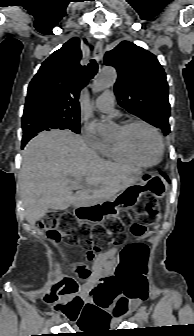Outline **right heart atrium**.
I'll use <instances>...</instances> for the list:
<instances>
[{"label":"right heart atrium","instance_id":"right-heart-atrium-1","mask_svg":"<svg viewBox=\"0 0 194 336\" xmlns=\"http://www.w3.org/2000/svg\"><path fill=\"white\" fill-rule=\"evenodd\" d=\"M83 138L92 151L101 152L105 146V142L88 126L83 128Z\"/></svg>","mask_w":194,"mask_h":336}]
</instances>
